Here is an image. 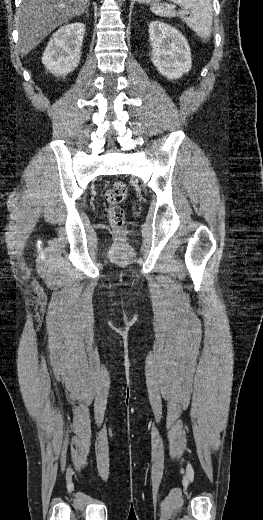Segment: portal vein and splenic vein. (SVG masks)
I'll list each match as a JSON object with an SVG mask.
<instances>
[{
	"label": "portal vein and splenic vein",
	"instance_id": "18ae733b",
	"mask_svg": "<svg viewBox=\"0 0 263 520\" xmlns=\"http://www.w3.org/2000/svg\"><path fill=\"white\" fill-rule=\"evenodd\" d=\"M169 7L172 8V9H175L176 5H170Z\"/></svg>",
	"mask_w": 263,
	"mask_h": 520
}]
</instances>
